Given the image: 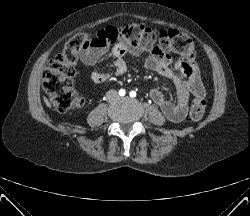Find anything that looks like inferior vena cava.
I'll return each mask as SVG.
<instances>
[{"label":"inferior vena cava","instance_id":"inferior-vena-cava-1","mask_svg":"<svg viewBox=\"0 0 250 216\" xmlns=\"http://www.w3.org/2000/svg\"><path fill=\"white\" fill-rule=\"evenodd\" d=\"M106 96H107L108 100L111 101L112 97L113 96H118V94H117V92L115 90H110V91L107 92Z\"/></svg>","mask_w":250,"mask_h":216}]
</instances>
